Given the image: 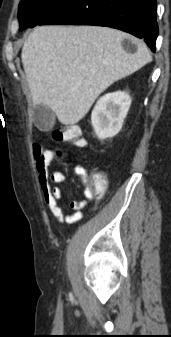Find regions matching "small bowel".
Wrapping results in <instances>:
<instances>
[{
	"instance_id": "small-bowel-1",
	"label": "small bowel",
	"mask_w": 171,
	"mask_h": 337,
	"mask_svg": "<svg viewBox=\"0 0 171 337\" xmlns=\"http://www.w3.org/2000/svg\"><path fill=\"white\" fill-rule=\"evenodd\" d=\"M62 156L64 158L70 157L67 153H64ZM55 157V151L52 149L43 150L38 145L34 148L33 158L39 186L43 194V200L57 222H76L83 216L81 210L86 206L88 201L93 199V191L87 179V171L82 166H77L74 169L76 175L80 178L81 183L84 186L85 199L73 200L70 203V208L74 211V213H69L60 205V200L62 198L61 189L53 185L64 183L67 180V176L62 171H49V166L54 161Z\"/></svg>"
}]
</instances>
